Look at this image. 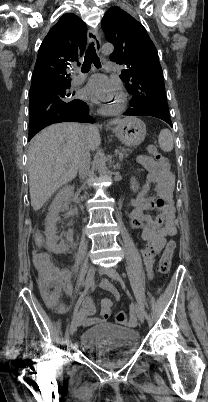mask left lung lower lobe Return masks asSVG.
Wrapping results in <instances>:
<instances>
[{"label": "left lung lower lobe", "instance_id": "0a47b994", "mask_svg": "<svg viewBox=\"0 0 208 402\" xmlns=\"http://www.w3.org/2000/svg\"><path fill=\"white\" fill-rule=\"evenodd\" d=\"M124 115H130V116H153L156 118H159L161 120H164L167 122L171 127H173L172 122L169 118V115H166L160 111L156 110H150V109H144V108H136V107H130Z\"/></svg>", "mask_w": 208, "mask_h": 402}]
</instances>
